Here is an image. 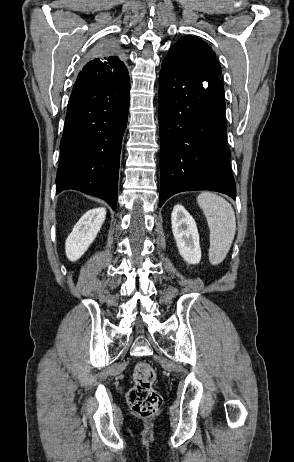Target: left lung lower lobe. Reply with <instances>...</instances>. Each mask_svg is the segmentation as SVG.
<instances>
[{"instance_id": "left-lung-lower-lobe-1", "label": "left lung lower lobe", "mask_w": 294, "mask_h": 462, "mask_svg": "<svg viewBox=\"0 0 294 462\" xmlns=\"http://www.w3.org/2000/svg\"><path fill=\"white\" fill-rule=\"evenodd\" d=\"M159 101V207L173 194L200 189L236 199L219 78L163 61Z\"/></svg>"}]
</instances>
